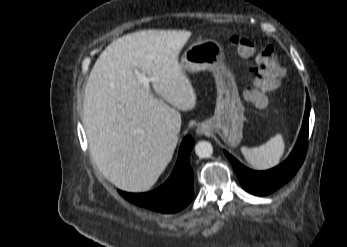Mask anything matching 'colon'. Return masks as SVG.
Returning a JSON list of instances; mask_svg holds the SVG:
<instances>
[{
  "label": "colon",
  "mask_w": 347,
  "mask_h": 247,
  "mask_svg": "<svg viewBox=\"0 0 347 247\" xmlns=\"http://www.w3.org/2000/svg\"><path fill=\"white\" fill-rule=\"evenodd\" d=\"M231 41L241 57L252 60L253 88L246 92L245 97L254 105H263L265 97L279 88L283 78V67L273 47L257 48L251 39L240 36H233Z\"/></svg>",
  "instance_id": "1"
}]
</instances>
